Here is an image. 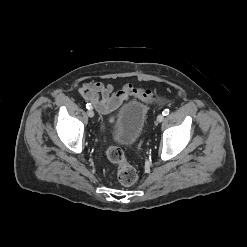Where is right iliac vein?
Instances as JSON below:
<instances>
[{
  "instance_id": "1",
  "label": "right iliac vein",
  "mask_w": 247,
  "mask_h": 247,
  "mask_svg": "<svg viewBox=\"0 0 247 247\" xmlns=\"http://www.w3.org/2000/svg\"><path fill=\"white\" fill-rule=\"evenodd\" d=\"M87 115H88L90 118L94 117V111H93V110H89V111L87 112Z\"/></svg>"
}]
</instances>
